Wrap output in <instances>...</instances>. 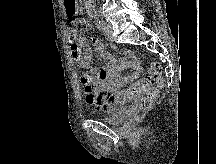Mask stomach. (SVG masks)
Listing matches in <instances>:
<instances>
[{
  "instance_id": "0dacf381",
  "label": "stomach",
  "mask_w": 216,
  "mask_h": 164,
  "mask_svg": "<svg viewBox=\"0 0 216 164\" xmlns=\"http://www.w3.org/2000/svg\"><path fill=\"white\" fill-rule=\"evenodd\" d=\"M63 3H65L66 20H79V0H63Z\"/></svg>"
}]
</instances>
